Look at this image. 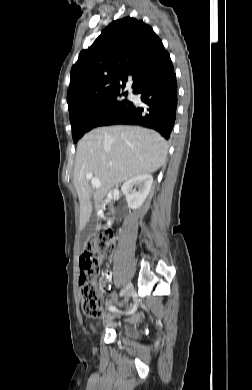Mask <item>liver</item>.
<instances>
[{"label":"liver","instance_id":"liver-1","mask_svg":"<svg viewBox=\"0 0 252 390\" xmlns=\"http://www.w3.org/2000/svg\"><path fill=\"white\" fill-rule=\"evenodd\" d=\"M167 151V142L159 133L138 126L101 127L85 134L77 145L73 172L80 201V229L90 220L92 196L101 218L108 191L135 176L157 171L165 163ZM88 173L100 180L99 188L91 187Z\"/></svg>","mask_w":252,"mask_h":390}]
</instances>
